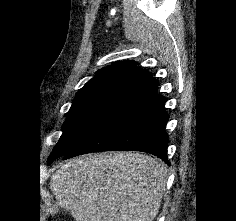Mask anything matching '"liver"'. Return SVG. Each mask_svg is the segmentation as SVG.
Segmentation results:
<instances>
[{
    "label": "liver",
    "mask_w": 236,
    "mask_h": 221,
    "mask_svg": "<svg viewBox=\"0 0 236 221\" xmlns=\"http://www.w3.org/2000/svg\"><path fill=\"white\" fill-rule=\"evenodd\" d=\"M166 183L167 168L158 159L113 152L61 163L50 189L76 221H153Z\"/></svg>",
    "instance_id": "6515ba94"
}]
</instances>
